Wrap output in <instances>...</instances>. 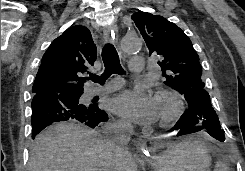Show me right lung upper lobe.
Wrapping results in <instances>:
<instances>
[{
    "mask_svg": "<svg viewBox=\"0 0 245 171\" xmlns=\"http://www.w3.org/2000/svg\"><path fill=\"white\" fill-rule=\"evenodd\" d=\"M96 57L89 29L81 25L70 27L44 53L32 92L37 95L83 91L87 78L82 74L92 68Z\"/></svg>",
    "mask_w": 245,
    "mask_h": 171,
    "instance_id": "1",
    "label": "right lung upper lobe"
}]
</instances>
